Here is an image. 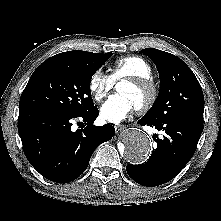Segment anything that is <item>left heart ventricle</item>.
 <instances>
[{
	"label": "left heart ventricle",
	"mask_w": 221,
	"mask_h": 221,
	"mask_svg": "<svg viewBox=\"0 0 221 221\" xmlns=\"http://www.w3.org/2000/svg\"><path fill=\"white\" fill-rule=\"evenodd\" d=\"M117 90L119 93L128 96L135 107L142 104L148 97V91L146 89L135 87L126 82H122L121 84H119Z\"/></svg>",
	"instance_id": "b2bd125f"
}]
</instances>
